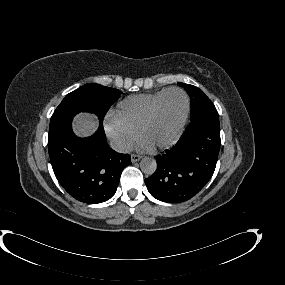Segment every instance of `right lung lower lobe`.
Instances as JSON below:
<instances>
[{
    "instance_id": "right-lung-lower-lobe-1",
    "label": "right lung lower lobe",
    "mask_w": 285,
    "mask_h": 285,
    "mask_svg": "<svg viewBox=\"0 0 285 285\" xmlns=\"http://www.w3.org/2000/svg\"><path fill=\"white\" fill-rule=\"evenodd\" d=\"M73 116L49 127V156L54 174L76 200L97 204L116 192L124 167L132 164L128 154L117 153L106 142L102 122L89 138L72 131Z\"/></svg>"
}]
</instances>
